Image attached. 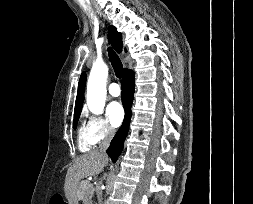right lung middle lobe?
Instances as JSON below:
<instances>
[{
  "mask_svg": "<svg viewBox=\"0 0 253 204\" xmlns=\"http://www.w3.org/2000/svg\"><path fill=\"white\" fill-rule=\"evenodd\" d=\"M79 116H80V115L74 116V129H76Z\"/></svg>",
  "mask_w": 253,
  "mask_h": 204,
  "instance_id": "obj_1",
  "label": "right lung middle lobe"
}]
</instances>
